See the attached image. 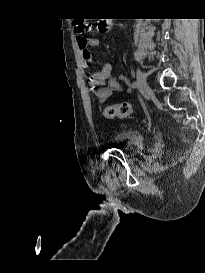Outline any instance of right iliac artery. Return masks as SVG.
Returning <instances> with one entry per match:
<instances>
[{
	"label": "right iliac artery",
	"instance_id": "82829eb1",
	"mask_svg": "<svg viewBox=\"0 0 205 273\" xmlns=\"http://www.w3.org/2000/svg\"><path fill=\"white\" fill-rule=\"evenodd\" d=\"M132 88H135L136 87V82H133L132 85H131Z\"/></svg>",
	"mask_w": 205,
	"mask_h": 273
}]
</instances>
